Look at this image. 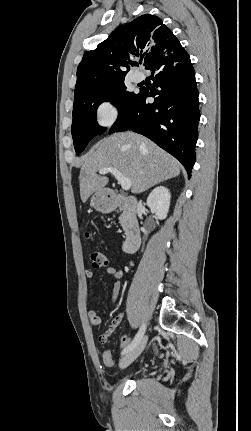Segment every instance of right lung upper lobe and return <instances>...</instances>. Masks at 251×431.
I'll return each mask as SVG.
<instances>
[{"instance_id": "obj_1", "label": "right lung upper lobe", "mask_w": 251, "mask_h": 431, "mask_svg": "<svg viewBox=\"0 0 251 431\" xmlns=\"http://www.w3.org/2000/svg\"><path fill=\"white\" fill-rule=\"evenodd\" d=\"M178 46L177 38L157 16L144 14L121 25L95 50L84 54L77 69L74 96L124 80L138 57L144 58L147 68Z\"/></svg>"}]
</instances>
